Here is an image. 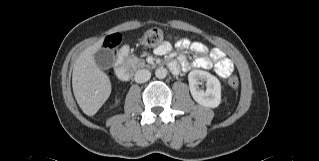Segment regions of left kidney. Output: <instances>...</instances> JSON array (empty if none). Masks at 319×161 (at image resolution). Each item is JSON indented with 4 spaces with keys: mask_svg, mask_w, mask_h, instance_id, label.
<instances>
[{
    "mask_svg": "<svg viewBox=\"0 0 319 161\" xmlns=\"http://www.w3.org/2000/svg\"><path fill=\"white\" fill-rule=\"evenodd\" d=\"M189 88L193 99L204 107L216 108L221 103V84L217 77L203 70H193L188 74ZM206 82V90L199 87Z\"/></svg>",
    "mask_w": 319,
    "mask_h": 161,
    "instance_id": "1",
    "label": "left kidney"
}]
</instances>
